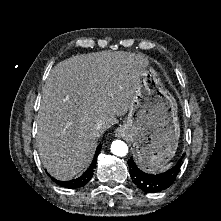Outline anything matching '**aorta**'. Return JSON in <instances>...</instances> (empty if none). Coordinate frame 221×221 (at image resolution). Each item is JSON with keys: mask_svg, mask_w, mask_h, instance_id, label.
Masks as SVG:
<instances>
[{"mask_svg": "<svg viewBox=\"0 0 221 221\" xmlns=\"http://www.w3.org/2000/svg\"><path fill=\"white\" fill-rule=\"evenodd\" d=\"M111 152L119 157H124L128 153V146L121 140H115L111 144Z\"/></svg>", "mask_w": 221, "mask_h": 221, "instance_id": "aorta-1", "label": "aorta"}]
</instances>
